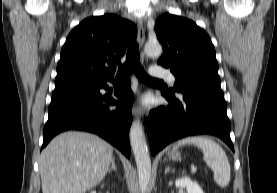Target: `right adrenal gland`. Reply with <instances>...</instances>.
Wrapping results in <instances>:
<instances>
[{
	"label": "right adrenal gland",
	"mask_w": 277,
	"mask_h": 193,
	"mask_svg": "<svg viewBox=\"0 0 277 193\" xmlns=\"http://www.w3.org/2000/svg\"><path fill=\"white\" fill-rule=\"evenodd\" d=\"M111 170L116 171L115 158L112 159L111 168L108 169V173H110Z\"/></svg>",
	"instance_id": "obj_1"
}]
</instances>
